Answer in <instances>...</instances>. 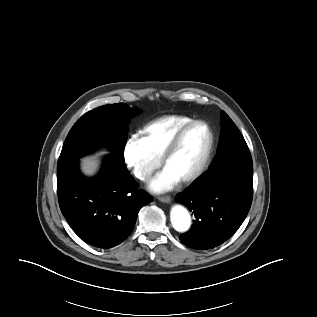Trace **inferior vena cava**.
<instances>
[{"label":"inferior vena cava","mask_w":317,"mask_h":317,"mask_svg":"<svg viewBox=\"0 0 317 317\" xmlns=\"http://www.w3.org/2000/svg\"><path fill=\"white\" fill-rule=\"evenodd\" d=\"M151 172H144L141 174L142 180H149L151 178Z\"/></svg>","instance_id":"602c4592"}]
</instances>
